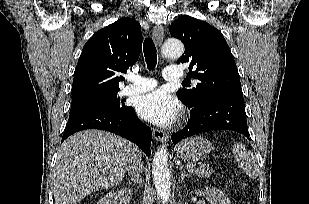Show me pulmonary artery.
I'll use <instances>...</instances> for the list:
<instances>
[{
    "mask_svg": "<svg viewBox=\"0 0 309 204\" xmlns=\"http://www.w3.org/2000/svg\"><path fill=\"white\" fill-rule=\"evenodd\" d=\"M163 77L167 81L180 80L184 78V73L177 67H168L163 74ZM157 86L156 80L152 78L135 76L131 79V83L127 85L123 90V95H135L147 92L154 89Z\"/></svg>",
    "mask_w": 309,
    "mask_h": 204,
    "instance_id": "obj_1",
    "label": "pulmonary artery"
}]
</instances>
